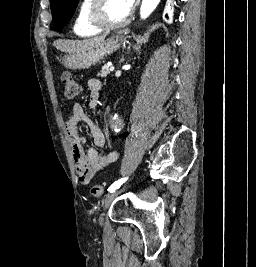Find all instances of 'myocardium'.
I'll return each mask as SVG.
<instances>
[{"label":"myocardium","instance_id":"f54148a6","mask_svg":"<svg viewBox=\"0 0 256 267\" xmlns=\"http://www.w3.org/2000/svg\"><path fill=\"white\" fill-rule=\"evenodd\" d=\"M108 1H111V0H94V3L89 13V20L96 29H99L105 32H110V31H114L118 28L126 26L133 20V18L131 17L129 21L125 25H122V26L109 25L102 16V12L104 10L105 4Z\"/></svg>","mask_w":256,"mask_h":267}]
</instances>
